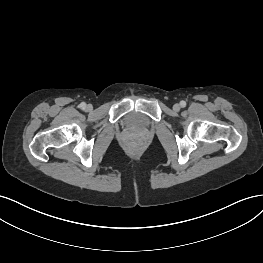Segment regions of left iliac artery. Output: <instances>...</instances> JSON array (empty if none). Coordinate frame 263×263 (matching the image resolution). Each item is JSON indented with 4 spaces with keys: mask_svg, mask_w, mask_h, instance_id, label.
<instances>
[{
    "mask_svg": "<svg viewBox=\"0 0 263 263\" xmlns=\"http://www.w3.org/2000/svg\"><path fill=\"white\" fill-rule=\"evenodd\" d=\"M180 105H181V107H185L186 106V102L185 101H181Z\"/></svg>",
    "mask_w": 263,
    "mask_h": 263,
    "instance_id": "44dca946",
    "label": "left iliac artery"
}]
</instances>
